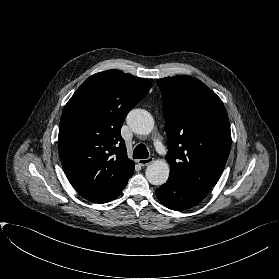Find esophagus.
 Here are the masks:
<instances>
[{
	"mask_svg": "<svg viewBox=\"0 0 279 279\" xmlns=\"http://www.w3.org/2000/svg\"><path fill=\"white\" fill-rule=\"evenodd\" d=\"M154 161V159L152 157L146 158V159H139L137 160V163L140 166H147L149 164H151Z\"/></svg>",
	"mask_w": 279,
	"mask_h": 279,
	"instance_id": "obj_1",
	"label": "esophagus"
}]
</instances>
